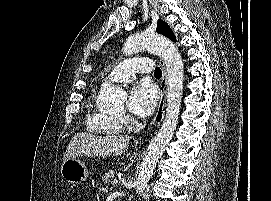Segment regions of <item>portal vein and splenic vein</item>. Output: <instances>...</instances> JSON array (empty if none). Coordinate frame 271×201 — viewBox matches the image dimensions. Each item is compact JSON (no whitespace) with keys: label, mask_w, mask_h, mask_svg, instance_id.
<instances>
[{"label":"portal vein and splenic vein","mask_w":271,"mask_h":201,"mask_svg":"<svg viewBox=\"0 0 271 201\" xmlns=\"http://www.w3.org/2000/svg\"><path fill=\"white\" fill-rule=\"evenodd\" d=\"M117 183H118V180H114V181L112 182L113 185H116Z\"/></svg>","instance_id":"portal-vein-and-splenic-vein-1"}]
</instances>
